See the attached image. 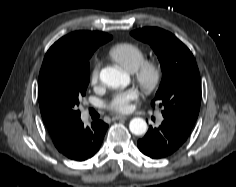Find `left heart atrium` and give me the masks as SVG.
Here are the masks:
<instances>
[{
	"label": "left heart atrium",
	"mask_w": 236,
	"mask_h": 187,
	"mask_svg": "<svg viewBox=\"0 0 236 187\" xmlns=\"http://www.w3.org/2000/svg\"><path fill=\"white\" fill-rule=\"evenodd\" d=\"M139 92L136 89H129L117 92L109 102V109L116 113H127L131 109V102L136 100Z\"/></svg>",
	"instance_id": "left-heart-atrium-1"
}]
</instances>
